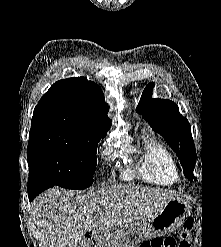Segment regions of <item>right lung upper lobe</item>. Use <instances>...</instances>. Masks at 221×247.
<instances>
[{"mask_svg": "<svg viewBox=\"0 0 221 247\" xmlns=\"http://www.w3.org/2000/svg\"><path fill=\"white\" fill-rule=\"evenodd\" d=\"M101 88L84 77L59 80L34 109L31 129L59 128L104 138L111 127Z\"/></svg>", "mask_w": 221, "mask_h": 247, "instance_id": "right-lung-upper-lobe-1", "label": "right lung upper lobe"}]
</instances>
